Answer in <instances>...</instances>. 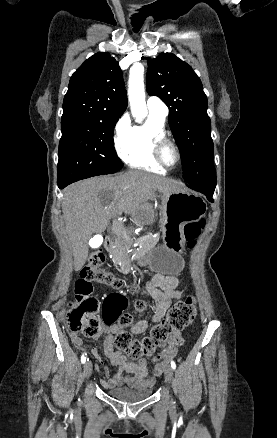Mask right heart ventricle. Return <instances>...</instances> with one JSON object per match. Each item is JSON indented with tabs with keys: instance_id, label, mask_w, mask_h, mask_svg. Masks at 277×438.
I'll use <instances>...</instances> for the list:
<instances>
[{
	"instance_id": "1",
	"label": "right heart ventricle",
	"mask_w": 277,
	"mask_h": 438,
	"mask_svg": "<svg viewBox=\"0 0 277 438\" xmlns=\"http://www.w3.org/2000/svg\"><path fill=\"white\" fill-rule=\"evenodd\" d=\"M128 126V133L119 145L122 160L130 168L165 174V169L156 162L153 153L155 140L166 135L164 120L147 114L143 124Z\"/></svg>"
}]
</instances>
